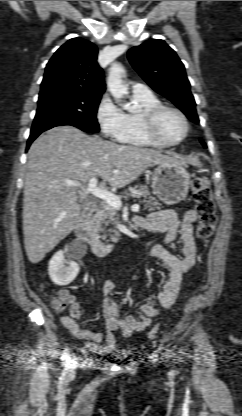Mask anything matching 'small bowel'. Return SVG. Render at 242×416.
Masks as SVG:
<instances>
[{"label":"small bowel","instance_id":"small-bowel-1","mask_svg":"<svg viewBox=\"0 0 242 416\" xmlns=\"http://www.w3.org/2000/svg\"><path fill=\"white\" fill-rule=\"evenodd\" d=\"M197 219L194 210L186 211L179 217L173 210H159L151 213L147 218L140 219V226L154 234H164L162 244L151 250L152 257L161 260L169 268V278L162 291L151 301L140 305L138 316L119 317V307L111 298L116 288L113 280H105L102 286L104 294L103 317L104 329L92 331L81 328L77 319L82 315L80 305L68 294L71 300L70 314L62 316L60 321L71 335L78 340L85 341V348L96 354L107 355L115 351L117 341L115 332L119 331L123 337H129L134 332H140L149 327L152 320L160 313V308H170L179 293L183 276L196 262V246L193 235V223ZM182 242V257L174 254L169 247L177 240Z\"/></svg>","mask_w":242,"mask_h":416}]
</instances>
